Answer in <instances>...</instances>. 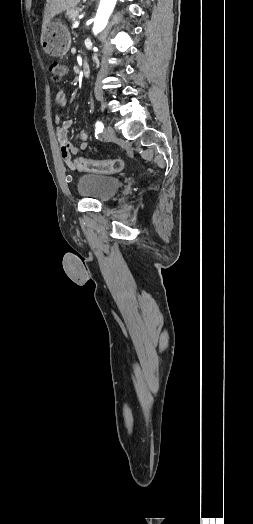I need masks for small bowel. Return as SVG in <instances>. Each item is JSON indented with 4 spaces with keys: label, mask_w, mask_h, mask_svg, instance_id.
<instances>
[{
    "label": "small bowel",
    "mask_w": 253,
    "mask_h": 524,
    "mask_svg": "<svg viewBox=\"0 0 253 524\" xmlns=\"http://www.w3.org/2000/svg\"><path fill=\"white\" fill-rule=\"evenodd\" d=\"M56 102L60 106H65L68 102L67 96L64 92L58 91L56 93ZM57 123L61 122V116L58 114L55 117ZM72 120L66 119L61 122V125L57 128L56 134L58 142L60 144L61 157L63 161L72 169H75V164L72 160V156L77 154L79 150H86L88 145V133L85 129H82L79 133L80 145L76 146L73 142L68 139V130L72 126Z\"/></svg>",
    "instance_id": "c3829d8e"
}]
</instances>
